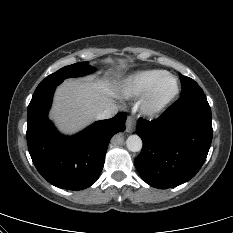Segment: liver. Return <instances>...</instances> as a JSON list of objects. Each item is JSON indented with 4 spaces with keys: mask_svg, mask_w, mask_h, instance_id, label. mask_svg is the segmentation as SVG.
I'll return each instance as SVG.
<instances>
[{
    "mask_svg": "<svg viewBox=\"0 0 233 233\" xmlns=\"http://www.w3.org/2000/svg\"><path fill=\"white\" fill-rule=\"evenodd\" d=\"M116 91L108 80H66L57 88L50 116L62 132L74 133L113 105Z\"/></svg>",
    "mask_w": 233,
    "mask_h": 233,
    "instance_id": "1",
    "label": "liver"
}]
</instances>
